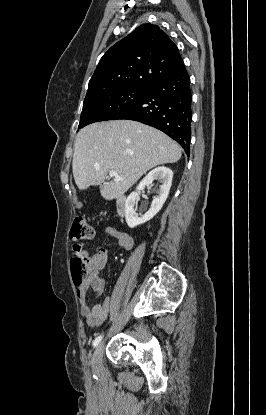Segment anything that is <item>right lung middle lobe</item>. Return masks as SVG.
Wrapping results in <instances>:
<instances>
[{"instance_id": "dd1d6c3e", "label": "right lung middle lobe", "mask_w": 266, "mask_h": 415, "mask_svg": "<svg viewBox=\"0 0 266 415\" xmlns=\"http://www.w3.org/2000/svg\"><path fill=\"white\" fill-rule=\"evenodd\" d=\"M147 88L118 87L85 97L78 128L110 120L114 115L142 100Z\"/></svg>"}]
</instances>
